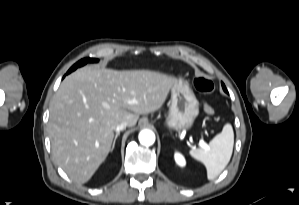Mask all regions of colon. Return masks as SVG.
Returning a JSON list of instances; mask_svg holds the SVG:
<instances>
[{
    "instance_id": "colon-1",
    "label": "colon",
    "mask_w": 299,
    "mask_h": 205,
    "mask_svg": "<svg viewBox=\"0 0 299 205\" xmlns=\"http://www.w3.org/2000/svg\"><path fill=\"white\" fill-rule=\"evenodd\" d=\"M194 86L202 94H209L214 89L213 82L209 78L204 76L197 77L194 80ZM204 110L208 115L214 114V109L208 102H204Z\"/></svg>"
}]
</instances>
